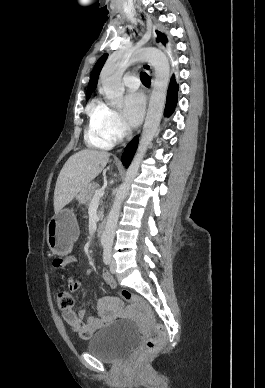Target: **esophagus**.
Masks as SVG:
<instances>
[{"label":"esophagus","instance_id":"34e87169","mask_svg":"<svg viewBox=\"0 0 265 388\" xmlns=\"http://www.w3.org/2000/svg\"><path fill=\"white\" fill-rule=\"evenodd\" d=\"M142 67H143L144 70H146V72H148L149 74L153 73V68H152V66L150 65V63H143V64H142Z\"/></svg>","mask_w":265,"mask_h":388}]
</instances>
